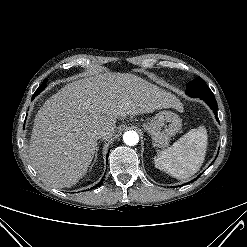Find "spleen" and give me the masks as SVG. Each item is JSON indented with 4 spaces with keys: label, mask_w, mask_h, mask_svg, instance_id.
<instances>
[{
    "label": "spleen",
    "mask_w": 247,
    "mask_h": 247,
    "mask_svg": "<svg viewBox=\"0 0 247 247\" xmlns=\"http://www.w3.org/2000/svg\"><path fill=\"white\" fill-rule=\"evenodd\" d=\"M208 144L204 126L191 129L154 158L155 167L177 179H187L202 166Z\"/></svg>",
    "instance_id": "spleen-1"
}]
</instances>
